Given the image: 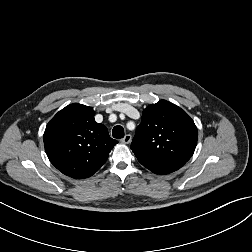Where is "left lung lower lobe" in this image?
Instances as JSON below:
<instances>
[{"label":"left lung lower lobe","mask_w":252,"mask_h":252,"mask_svg":"<svg viewBox=\"0 0 252 252\" xmlns=\"http://www.w3.org/2000/svg\"><path fill=\"white\" fill-rule=\"evenodd\" d=\"M143 166L156 174H169L181 168L186 162L178 159H156L139 161Z\"/></svg>","instance_id":"obj_1"}]
</instances>
